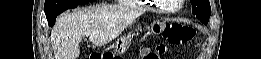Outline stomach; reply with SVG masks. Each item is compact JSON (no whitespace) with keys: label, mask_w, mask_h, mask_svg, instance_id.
I'll return each mask as SVG.
<instances>
[{"label":"stomach","mask_w":261,"mask_h":59,"mask_svg":"<svg viewBox=\"0 0 261 59\" xmlns=\"http://www.w3.org/2000/svg\"><path fill=\"white\" fill-rule=\"evenodd\" d=\"M130 42H131V36L120 38L117 41L116 51L119 53H124L128 49Z\"/></svg>","instance_id":"0dacf381"}]
</instances>
